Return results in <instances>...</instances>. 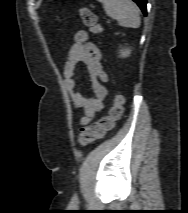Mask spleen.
Returning a JSON list of instances; mask_svg holds the SVG:
<instances>
[{
  "instance_id": "spleen-1",
  "label": "spleen",
  "mask_w": 188,
  "mask_h": 213,
  "mask_svg": "<svg viewBox=\"0 0 188 213\" xmlns=\"http://www.w3.org/2000/svg\"><path fill=\"white\" fill-rule=\"evenodd\" d=\"M103 4L109 17L116 19L119 25L138 28L141 24L138 6L131 0H97Z\"/></svg>"
}]
</instances>
